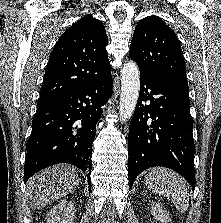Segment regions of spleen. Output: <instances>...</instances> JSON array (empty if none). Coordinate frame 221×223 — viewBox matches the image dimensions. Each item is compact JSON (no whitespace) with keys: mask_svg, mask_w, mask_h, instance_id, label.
I'll return each mask as SVG.
<instances>
[{"mask_svg":"<svg viewBox=\"0 0 221 223\" xmlns=\"http://www.w3.org/2000/svg\"><path fill=\"white\" fill-rule=\"evenodd\" d=\"M146 186L156 194H162L173 202L177 210L185 212L189 204L186 183L175 172L165 168H154L145 177Z\"/></svg>","mask_w":221,"mask_h":223,"instance_id":"3e777b00","label":"spleen"}]
</instances>
